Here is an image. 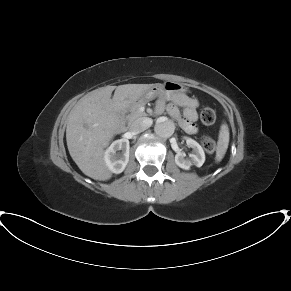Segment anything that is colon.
Listing matches in <instances>:
<instances>
[{"label":"colon","instance_id":"obj_1","mask_svg":"<svg viewBox=\"0 0 291 291\" xmlns=\"http://www.w3.org/2000/svg\"><path fill=\"white\" fill-rule=\"evenodd\" d=\"M200 119L205 125H213L216 122V113L212 108L206 107L201 111ZM201 142L206 152L212 153L215 151L216 145L208 135H203Z\"/></svg>","mask_w":291,"mask_h":291}]
</instances>
